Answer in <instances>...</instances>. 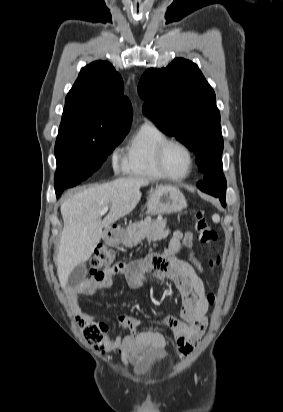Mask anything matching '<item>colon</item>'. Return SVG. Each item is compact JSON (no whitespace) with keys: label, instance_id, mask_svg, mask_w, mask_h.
<instances>
[{"label":"colon","instance_id":"obj_1","mask_svg":"<svg viewBox=\"0 0 283 412\" xmlns=\"http://www.w3.org/2000/svg\"><path fill=\"white\" fill-rule=\"evenodd\" d=\"M193 220L195 224V229L198 233L200 241L206 245L211 254L210 265L216 268L220 264V246L218 244V236L216 231L209 225L204 212L200 209H195L193 211ZM171 252L176 253L180 247L181 243L175 236L171 240ZM172 253H165L159 255L158 257L151 260V263L160 266H166L168 262V257ZM92 273L95 278L101 279L106 276L115 274L121 270L126 263L124 262H113V252L110 248L105 245H100L96 248L95 253L91 259ZM141 268H149L148 263H139ZM216 300V295L214 291H211L207 295V301L209 304L213 305ZM78 327L87 341L88 344L100 349L104 344V335L107 332V325L95 320L79 318Z\"/></svg>","mask_w":283,"mask_h":412}]
</instances>
